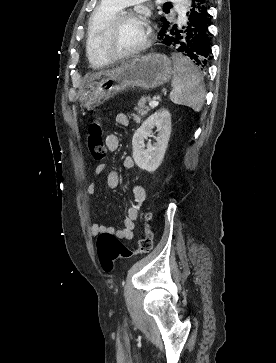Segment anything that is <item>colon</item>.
<instances>
[{"label":"colon","instance_id":"1","mask_svg":"<svg viewBox=\"0 0 276 363\" xmlns=\"http://www.w3.org/2000/svg\"><path fill=\"white\" fill-rule=\"evenodd\" d=\"M103 127L99 121H93L88 126V149L92 158L102 161L106 157V146L103 137ZM151 214L145 213L143 217V234L138 247L132 249L124 245L116 236L101 233L97 238V253L102 268L109 272L114 261L122 258L129 259L137 255L150 253L153 249V233L150 229Z\"/></svg>","mask_w":276,"mask_h":363}]
</instances>
